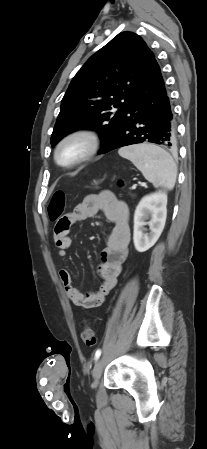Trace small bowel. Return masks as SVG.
<instances>
[{"mask_svg":"<svg viewBox=\"0 0 207 449\" xmlns=\"http://www.w3.org/2000/svg\"><path fill=\"white\" fill-rule=\"evenodd\" d=\"M98 212H103L113 224L102 252V263L99 266L102 281L99 288L92 292H81L74 286L71 275L66 269L59 271V277L66 295L76 307L85 310L99 306L116 286L123 263L129 253L128 208L123 201L109 191L91 194L86 196L70 213L62 217L56 224L59 230L54 232L58 257L65 259L68 249L72 246V240L69 236L71 227L96 215Z\"/></svg>","mask_w":207,"mask_h":449,"instance_id":"c3829d8e","label":"small bowel"}]
</instances>
